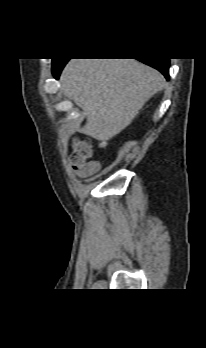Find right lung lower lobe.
<instances>
[{"instance_id":"right-lung-lower-lobe-1","label":"right lung lower lobe","mask_w":206,"mask_h":348,"mask_svg":"<svg viewBox=\"0 0 206 348\" xmlns=\"http://www.w3.org/2000/svg\"><path fill=\"white\" fill-rule=\"evenodd\" d=\"M141 62L159 70L167 80H169V59H155V58H145L138 59ZM68 59L60 60L57 64L52 66V72L56 79L59 78L60 72L64 65L67 63Z\"/></svg>"}]
</instances>
